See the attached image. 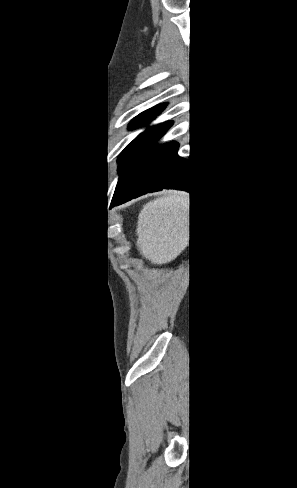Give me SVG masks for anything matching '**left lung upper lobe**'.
Returning <instances> with one entry per match:
<instances>
[{
	"instance_id": "1",
	"label": "left lung upper lobe",
	"mask_w": 297,
	"mask_h": 488,
	"mask_svg": "<svg viewBox=\"0 0 297 488\" xmlns=\"http://www.w3.org/2000/svg\"><path fill=\"white\" fill-rule=\"evenodd\" d=\"M165 108L164 104L157 105L140 113L130 122V129L146 124ZM168 121L154 126L135 138L119 155V179L113 198L120 196L139 175L143 168L166 145H156L160 137L171 127Z\"/></svg>"
}]
</instances>
